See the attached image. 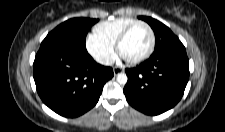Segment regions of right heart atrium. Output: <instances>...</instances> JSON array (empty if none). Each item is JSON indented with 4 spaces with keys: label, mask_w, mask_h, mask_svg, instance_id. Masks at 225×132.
<instances>
[{
    "label": "right heart atrium",
    "mask_w": 225,
    "mask_h": 132,
    "mask_svg": "<svg viewBox=\"0 0 225 132\" xmlns=\"http://www.w3.org/2000/svg\"><path fill=\"white\" fill-rule=\"evenodd\" d=\"M86 49L88 53L102 65H110L115 59L114 47L99 40L94 35H89L87 37Z\"/></svg>",
    "instance_id": "1"
}]
</instances>
